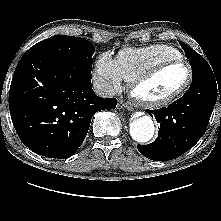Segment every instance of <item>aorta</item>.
<instances>
[{"instance_id":"1","label":"aorta","mask_w":221,"mask_h":221,"mask_svg":"<svg viewBox=\"0 0 221 221\" xmlns=\"http://www.w3.org/2000/svg\"><path fill=\"white\" fill-rule=\"evenodd\" d=\"M154 122L150 116H141L130 123V135L139 142L145 143L152 139L154 135Z\"/></svg>"}]
</instances>
